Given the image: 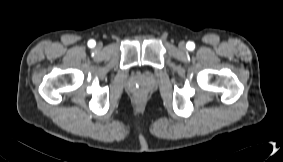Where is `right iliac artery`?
<instances>
[{
  "mask_svg": "<svg viewBox=\"0 0 283 162\" xmlns=\"http://www.w3.org/2000/svg\"><path fill=\"white\" fill-rule=\"evenodd\" d=\"M96 45V42L94 41V40H90L89 42H88V46L89 47H94Z\"/></svg>",
  "mask_w": 283,
  "mask_h": 162,
  "instance_id": "right-iliac-artery-1",
  "label": "right iliac artery"
}]
</instances>
